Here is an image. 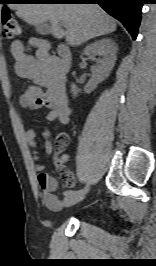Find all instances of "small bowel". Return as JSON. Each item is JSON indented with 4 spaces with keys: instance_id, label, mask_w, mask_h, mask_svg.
Listing matches in <instances>:
<instances>
[{
    "instance_id": "obj_1",
    "label": "small bowel",
    "mask_w": 156,
    "mask_h": 266,
    "mask_svg": "<svg viewBox=\"0 0 156 266\" xmlns=\"http://www.w3.org/2000/svg\"><path fill=\"white\" fill-rule=\"evenodd\" d=\"M10 50L16 74L33 82V85L21 95L20 105L31 110L45 107L48 109L47 118L50 121H58L63 125L68 124L71 110L66 96L65 82L58 77L55 70V59L48 53L46 47L39 45L33 55L21 41H14ZM42 135L45 139L46 153L52 154L54 147L49 139V130L45 128ZM25 137L33 150V159L36 163V170L39 172L37 180L42 191V200L50 210H59L63 203L55 194L57 181L53 176L44 172V165L40 162V156L36 149V129H29ZM57 165L66 186L73 187L75 184L73 174L61 163L57 162Z\"/></svg>"
}]
</instances>
